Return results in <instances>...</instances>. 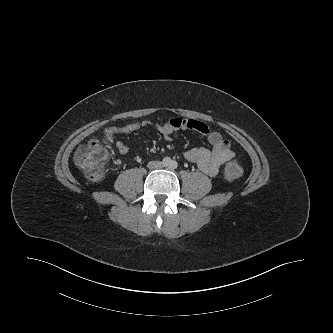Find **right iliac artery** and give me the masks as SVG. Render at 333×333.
Returning a JSON list of instances; mask_svg holds the SVG:
<instances>
[{
	"label": "right iliac artery",
	"instance_id": "1",
	"mask_svg": "<svg viewBox=\"0 0 333 333\" xmlns=\"http://www.w3.org/2000/svg\"><path fill=\"white\" fill-rule=\"evenodd\" d=\"M162 163L164 166H168L171 163V159L169 157H165L163 158Z\"/></svg>",
	"mask_w": 333,
	"mask_h": 333
}]
</instances>
